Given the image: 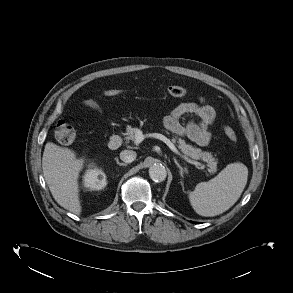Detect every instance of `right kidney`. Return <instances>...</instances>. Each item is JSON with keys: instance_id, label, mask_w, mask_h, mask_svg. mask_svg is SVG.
<instances>
[{"instance_id": "1", "label": "right kidney", "mask_w": 293, "mask_h": 293, "mask_svg": "<svg viewBox=\"0 0 293 293\" xmlns=\"http://www.w3.org/2000/svg\"><path fill=\"white\" fill-rule=\"evenodd\" d=\"M107 185L105 173L98 168L87 170L84 176V186L90 190H101Z\"/></svg>"}]
</instances>
